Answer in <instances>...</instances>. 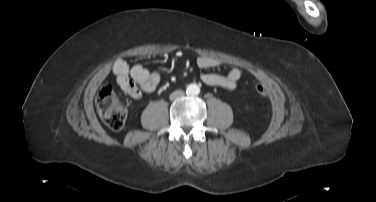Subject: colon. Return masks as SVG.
<instances>
[{"mask_svg": "<svg viewBox=\"0 0 376 202\" xmlns=\"http://www.w3.org/2000/svg\"><path fill=\"white\" fill-rule=\"evenodd\" d=\"M256 91L260 95H264L266 88L259 84L256 86ZM95 103L97 112L106 126L113 130L123 128L127 119V107L110 86H104L100 89Z\"/></svg>", "mask_w": 376, "mask_h": 202, "instance_id": "1", "label": "colon"}]
</instances>
